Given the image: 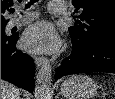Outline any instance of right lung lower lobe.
<instances>
[{"label":"right lung lower lobe","instance_id":"right-lung-lower-lobe-1","mask_svg":"<svg viewBox=\"0 0 115 99\" xmlns=\"http://www.w3.org/2000/svg\"><path fill=\"white\" fill-rule=\"evenodd\" d=\"M18 36L19 34L1 37V79L33 92L34 61L16 48Z\"/></svg>","mask_w":115,"mask_h":99}]
</instances>
